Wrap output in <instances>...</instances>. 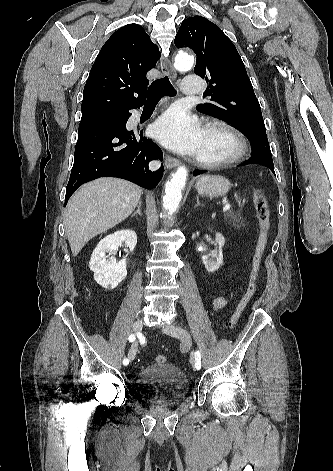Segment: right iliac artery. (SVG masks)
Here are the masks:
<instances>
[{
  "mask_svg": "<svg viewBox=\"0 0 333 471\" xmlns=\"http://www.w3.org/2000/svg\"><path fill=\"white\" fill-rule=\"evenodd\" d=\"M128 340H129L130 342H133V341L135 340V335H134V334L129 335ZM128 363H129V360H128L127 358H125V359L123 360V364H124V365H128Z\"/></svg>",
  "mask_w": 333,
  "mask_h": 471,
  "instance_id": "obj_1",
  "label": "right iliac artery"
}]
</instances>
